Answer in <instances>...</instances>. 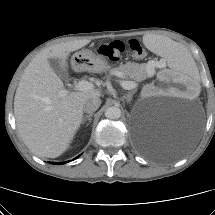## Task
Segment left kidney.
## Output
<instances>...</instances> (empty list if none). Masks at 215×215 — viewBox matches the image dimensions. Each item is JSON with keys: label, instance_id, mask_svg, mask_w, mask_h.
I'll use <instances>...</instances> for the list:
<instances>
[{"label": "left kidney", "instance_id": "left-kidney-1", "mask_svg": "<svg viewBox=\"0 0 215 215\" xmlns=\"http://www.w3.org/2000/svg\"><path fill=\"white\" fill-rule=\"evenodd\" d=\"M160 88L167 94L194 97L199 92L198 84L177 70L164 69L160 73Z\"/></svg>", "mask_w": 215, "mask_h": 215}]
</instances>
